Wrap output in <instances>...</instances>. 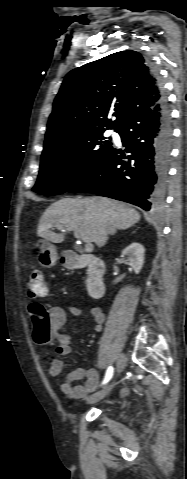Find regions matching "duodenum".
Returning a JSON list of instances; mask_svg holds the SVG:
<instances>
[{"mask_svg": "<svg viewBox=\"0 0 187 479\" xmlns=\"http://www.w3.org/2000/svg\"><path fill=\"white\" fill-rule=\"evenodd\" d=\"M64 264L69 268H83L87 269L86 289L90 297L99 298L103 295L104 285V263L93 256H74L64 254Z\"/></svg>", "mask_w": 187, "mask_h": 479, "instance_id": "1", "label": "duodenum"}]
</instances>
